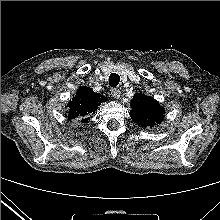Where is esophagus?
Masks as SVG:
<instances>
[{
	"instance_id": "esophagus-1",
	"label": "esophagus",
	"mask_w": 220,
	"mask_h": 220,
	"mask_svg": "<svg viewBox=\"0 0 220 220\" xmlns=\"http://www.w3.org/2000/svg\"><path fill=\"white\" fill-rule=\"evenodd\" d=\"M110 92L113 98L118 99L120 97L121 92L118 88H112Z\"/></svg>"
}]
</instances>
